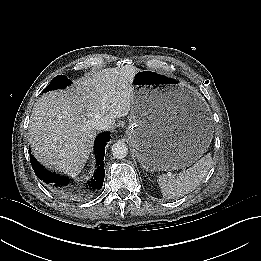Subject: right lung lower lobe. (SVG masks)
Wrapping results in <instances>:
<instances>
[{"mask_svg": "<svg viewBox=\"0 0 261 261\" xmlns=\"http://www.w3.org/2000/svg\"><path fill=\"white\" fill-rule=\"evenodd\" d=\"M110 140V133L105 132L99 134L95 141L94 145V153L96 155L97 160V171L94 175V178L88 183L90 189L89 190H99L101 189L104 181L105 170L103 168V160L105 154V146L106 142ZM30 151V150H29ZM31 153V151H30ZM32 168L35 174L38 176L40 180H42L45 184L48 185L54 191L66 196H74V197H85L89 190H78L73 189L68 186L70 182L68 177H63L52 173L51 171L46 170L36 159L31 155L30 158Z\"/></svg>", "mask_w": 261, "mask_h": 261, "instance_id": "obj_1", "label": "right lung lower lobe"}]
</instances>
